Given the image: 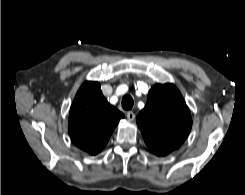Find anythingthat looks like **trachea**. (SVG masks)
<instances>
[{"instance_id":"trachea-1","label":"trachea","mask_w":245,"mask_h":195,"mask_svg":"<svg viewBox=\"0 0 245 195\" xmlns=\"http://www.w3.org/2000/svg\"><path fill=\"white\" fill-rule=\"evenodd\" d=\"M134 100L130 95H125L122 98V107L125 110H130L133 107Z\"/></svg>"}]
</instances>
